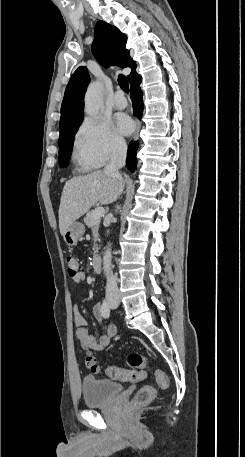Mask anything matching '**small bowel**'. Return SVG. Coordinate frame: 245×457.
Listing matches in <instances>:
<instances>
[{
    "instance_id": "c3829d8e",
    "label": "small bowel",
    "mask_w": 245,
    "mask_h": 457,
    "mask_svg": "<svg viewBox=\"0 0 245 457\" xmlns=\"http://www.w3.org/2000/svg\"><path fill=\"white\" fill-rule=\"evenodd\" d=\"M76 283H82L86 278V273L83 271L78 272L74 277H71ZM93 317L97 322L103 320L102 304L98 303L93 309ZM73 320L77 327L76 337L82 348L90 351H101L109 347L111 341L117 334V329L114 325H109L106 328V333L99 340L89 333L86 327V320L79 310L78 306L73 308Z\"/></svg>"
}]
</instances>
